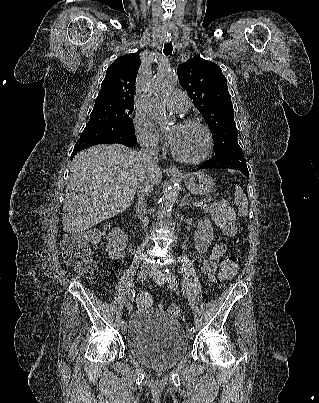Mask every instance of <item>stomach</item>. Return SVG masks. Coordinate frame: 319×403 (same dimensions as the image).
I'll use <instances>...</instances> for the list:
<instances>
[{"instance_id":"0dacf381","label":"stomach","mask_w":319,"mask_h":403,"mask_svg":"<svg viewBox=\"0 0 319 403\" xmlns=\"http://www.w3.org/2000/svg\"><path fill=\"white\" fill-rule=\"evenodd\" d=\"M188 191L197 196L209 194L214 189L212 178L204 172H195L182 176Z\"/></svg>"}]
</instances>
